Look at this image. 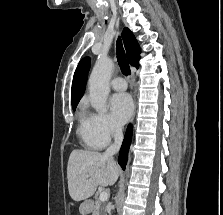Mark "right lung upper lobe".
<instances>
[{"instance_id":"obj_1","label":"right lung upper lobe","mask_w":223,"mask_h":215,"mask_svg":"<svg viewBox=\"0 0 223 215\" xmlns=\"http://www.w3.org/2000/svg\"><path fill=\"white\" fill-rule=\"evenodd\" d=\"M122 36L127 53V59L131 65L138 68V61L140 59V48L138 42L128 28H124ZM89 69L90 58L85 57L79 62L73 77L71 95L73 109L76 108L79 100L84 94Z\"/></svg>"}]
</instances>
